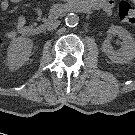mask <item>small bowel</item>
Segmentation results:
<instances>
[{"instance_id": "small-bowel-1", "label": "small bowel", "mask_w": 135, "mask_h": 135, "mask_svg": "<svg viewBox=\"0 0 135 135\" xmlns=\"http://www.w3.org/2000/svg\"><path fill=\"white\" fill-rule=\"evenodd\" d=\"M21 0H2L0 6L3 9H8L11 3H18ZM86 3L93 10H101L103 13L109 15L112 13L114 1L113 0H86ZM26 20L23 17H18L14 30H9L6 33L8 38H14L17 34H24L26 32Z\"/></svg>"}]
</instances>
